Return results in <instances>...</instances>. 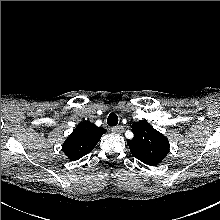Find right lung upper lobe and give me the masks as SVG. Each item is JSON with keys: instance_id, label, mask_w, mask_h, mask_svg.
Wrapping results in <instances>:
<instances>
[{"instance_id": "cb5924a9", "label": "right lung upper lobe", "mask_w": 220, "mask_h": 220, "mask_svg": "<svg viewBox=\"0 0 220 220\" xmlns=\"http://www.w3.org/2000/svg\"><path fill=\"white\" fill-rule=\"evenodd\" d=\"M104 133L106 130L103 127L83 121L68 136L62 146V151L71 161L78 160L94 149Z\"/></svg>"}]
</instances>
